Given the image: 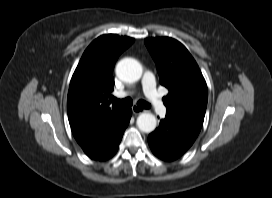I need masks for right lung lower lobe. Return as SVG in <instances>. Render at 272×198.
<instances>
[{
    "label": "right lung lower lobe",
    "instance_id": "obj_1",
    "mask_svg": "<svg viewBox=\"0 0 272 198\" xmlns=\"http://www.w3.org/2000/svg\"><path fill=\"white\" fill-rule=\"evenodd\" d=\"M131 114L130 108H122L109 118L86 139L78 142L83 151L94 160H106L112 157L119 147Z\"/></svg>",
    "mask_w": 272,
    "mask_h": 198
}]
</instances>
